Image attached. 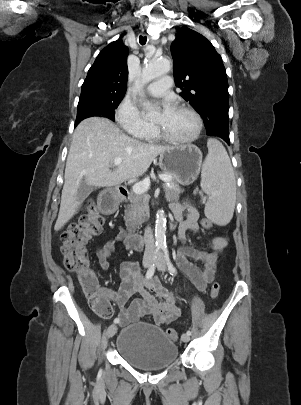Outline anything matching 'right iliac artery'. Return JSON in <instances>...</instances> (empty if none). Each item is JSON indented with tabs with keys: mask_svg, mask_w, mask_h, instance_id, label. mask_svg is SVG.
<instances>
[{
	"mask_svg": "<svg viewBox=\"0 0 301 405\" xmlns=\"http://www.w3.org/2000/svg\"><path fill=\"white\" fill-rule=\"evenodd\" d=\"M159 250H160V247H157L155 250V255L153 258L154 261L156 259V254L158 253ZM154 272H155V263L153 262L146 273V279H150L153 276ZM114 323H119V318H115Z\"/></svg>",
	"mask_w": 301,
	"mask_h": 405,
	"instance_id": "obj_1",
	"label": "right iliac artery"
}]
</instances>
